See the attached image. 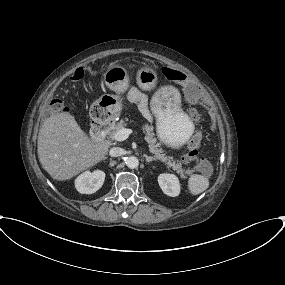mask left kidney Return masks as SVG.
<instances>
[{
  "label": "left kidney",
  "instance_id": "1",
  "mask_svg": "<svg viewBox=\"0 0 285 285\" xmlns=\"http://www.w3.org/2000/svg\"><path fill=\"white\" fill-rule=\"evenodd\" d=\"M158 183L162 191L171 197L178 196L180 193V184L178 178L174 174H160Z\"/></svg>",
  "mask_w": 285,
  "mask_h": 285
}]
</instances>
